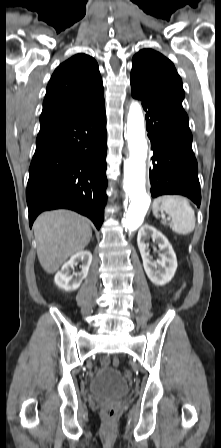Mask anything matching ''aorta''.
<instances>
[{
  "label": "aorta",
  "mask_w": 221,
  "mask_h": 448,
  "mask_svg": "<svg viewBox=\"0 0 221 448\" xmlns=\"http://www.w3.org/2000/svg\"><path fill=\"white\" fill-rule=\"evenodd\" d=\"M127 140L129 159L124 164L123 188L131 203L123 220V226L126 229L135 230L143 223L150 205V196L145 189V161L148 145L142 108L137 101H133L130 105L127 117Z\"/></svg>",
  "instance_id": "1"
}]
</instances>
